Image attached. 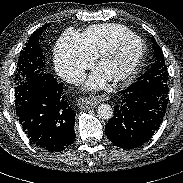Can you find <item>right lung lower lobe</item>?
Masks as SVG:
<instances>
[{
  "instance_id": "98d812e1",
  "label": "right lung lower lobe",
  "mask_w": 183,
  "mask_h": 183,
  "mask_svg": "<svg viewBox=\"0 0 183 183\" xmlns=\"http://www.w3.org/2000/svg\"><path fill=\"white\" fill-rule=\"evenodd\" d=\"M20 124L37 147L59 152L75 139V113L63 87L50 73L32 77L15 87Z\"/></svg>"
}]
</instances>
